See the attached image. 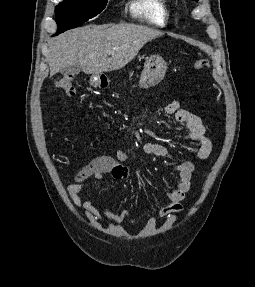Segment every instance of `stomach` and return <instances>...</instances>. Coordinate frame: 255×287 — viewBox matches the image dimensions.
I'll use <instances>...</instances> for the list:
<instances>
[{"mask_svg":"<svg viewBox=\"0 0 255 287\" xmlns=\"http://www.w3.org/2000/svg\"><path fill=\"white\" fill-rule=\"evenodd\" d=\"M166 72V64L160 56H153L151 60L145 62L144 70L141 74L139 80L140 88H151V86H156L161 80H163ZM90 86L94 88H99L100 86V76L99 74H94L90 78Z\"/></svg>","mask_w":255,"mask_h":287,"instance_id":"stomach-1","label":"stomach"}]
</instances>
